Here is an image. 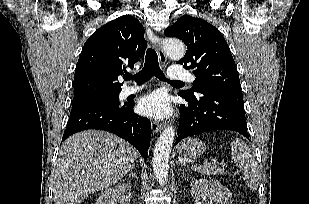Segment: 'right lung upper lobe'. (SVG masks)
Wrapping results in <instances>:
<instances>
[{
  "instance_id": "cb5924a9",
  "label": "right lung upper lobe",
  "mask_w": 309,
  "mask_h": 204,
  "mask_svg": "<svg viewBox=\"0 0 309 204\" xmlns=\"http://www.w3.org/2000/svg\"><path fill=\"white\" fill-rule=\"evenodd\" d=\"M142 24L130 15L100 27L84 44L74 76L72 104L119 93L118 76L144 56Z\"/></svg>"
}]
</instances>
